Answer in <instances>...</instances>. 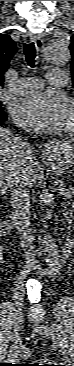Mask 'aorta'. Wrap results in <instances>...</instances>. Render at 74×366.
Returning <instances> with one entry per match:
<instances>
[{"label":"aorta","instance_id":"aorta-1","mask_svg":"<svg viewBox=\"0 0 74 366\" xmlns=\"http://www.w3.org/2000/svg\"><path fill=\"white\" fill-rule=\"evenodd\" d=\"M70 58L68 45L59 42L46 44L42 55V60L53 66H64L68 64ZM42 243L46 252V261L51 267H54L58 261V246L56 241L49 233H45L42 238Z\"/></svg>","mask_w":74,"mask_h":366}]
</instances>
